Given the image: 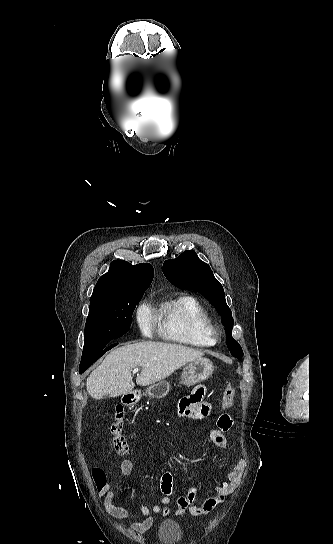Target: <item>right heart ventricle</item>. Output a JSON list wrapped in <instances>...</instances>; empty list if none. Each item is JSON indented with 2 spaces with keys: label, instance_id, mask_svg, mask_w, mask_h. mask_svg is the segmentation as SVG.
<instances>
[{
  "label": "right heart ventricle",
  "instance_id": "right-heart-ventricle-1",
  "mask_svg": "<svg viewBox=\"0 0 333 544\" xmlns=\"http://www.w3.org/2000/svg\"><path fill=\"white\" fill-rule=\"evenodd\" d=\"M158 318L161 333L168 340L195 347H209L216 343L209 313L191 295H181L162 303Z\"/></svg>",
  "mask_w": 333,
  "mask_h": 544
}]
</instances>
